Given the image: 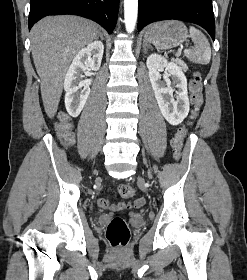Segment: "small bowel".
I'll list each match as a JSON object with an SVG mask.
<instances>
[{"mask_svg":"<svg viewBox=\"0 0 247 280\" xmlns=\"http://www.w3.org/2000/svg\"><path fill=\"white\" fill-rule=\"evenodd\" d=\"M99 205L103 208H111L113 210H120L123 208H139L144 205L145 200L144 198H139L135 200L133 203H128V204H123V203H118V204H110L108 200L106 199H100L98 201Z\"/></svg>","mask_w":247,"mask_h":280,"instance_id":"small-bowel-1","label":"small bowel"}]
</instances>
